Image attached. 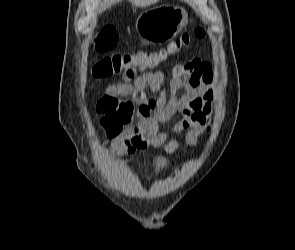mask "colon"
Listing matches in <instances>:
<instances>
[{
	"mask_svg": "<svg viewBox=\"0 0 295 250\" xmlns=\"http://www.w3.org/2000/svg\"><path fill=\"white\" fill-rule=\"evenodd\" d=\"M205 36L202 27H196L191 33H184L174 38L166 49L153 54L137 56L134 54H114L102 57L92 68L95 78L104 79L112 77L129 69L147 65L166 55L176 54L186 48L193 39ZM118 41L114 27H104L95 37L94 45L97 52L112 50ZM97 112L101 114L100 124L108 137H116L130 124L135 115V107L131 101H120L116 97L106 96L99 100Z\"/></svg>",
	"mask_w": 295,
	"mask_h": 250,
	"instance_id": "1",
	"label": "colon"
}]
</instances>
